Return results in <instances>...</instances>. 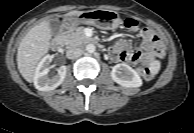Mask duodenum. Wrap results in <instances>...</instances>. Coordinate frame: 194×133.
Masks as SVG:
<instances>
[{
  "instance_id": "duodenum-1",
  "label": "duodenum",
  "mask_w": 194,
  "mask_h": 133,
  "mask_svg": "<svg viewBox=\"0 0 194 133\" xmlns=\"http://www.w3.org/2000/svg\"><path fill=\"white\" fill-rule=\"evenodd\" d=\"M73 24L71 23H66L61 30V33L57 35L53 40L51 41V48L53 50H59L64 43V35L71 29ZM88 43H95L93 40L89 39Z\"/></svg>"
}]
</instances>
